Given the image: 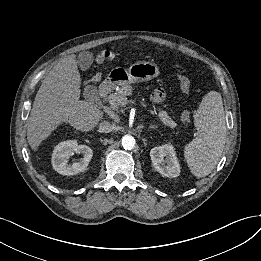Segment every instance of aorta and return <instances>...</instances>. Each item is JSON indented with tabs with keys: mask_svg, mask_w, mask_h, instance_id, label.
<instances>
[{
	"mask_svg": "<svg viewBox=\"0 0 261 261\" xmlns=\"http://www.w3.org/2000/svg\"><path fill=\"white\" fill-rule=\"evenodd\" d=\"M121 143L125 150H132L135 147V139L131 135L123 136Z\"/></svg>",
	"mask_w": 261,
	"mask_h": 261,
	"instance_id": "aorta-1",
	"label": "aorta"
}]
</instances>
